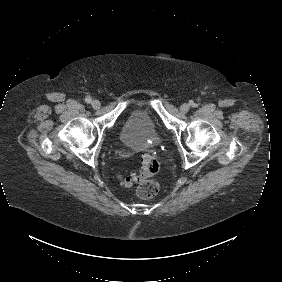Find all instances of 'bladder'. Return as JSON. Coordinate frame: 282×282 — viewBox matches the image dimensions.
<instances>
[{
	"label": "bladder",
	"mask_w": 282,
	"mask_h": 282,
	"mask_svg": "<svg viewBox=\"0 0 282 282\" xmlns=\"http://www.w3.org/2000/svg\"><path fill=\"white\" fill-rule=\"evenodd\" d=\"M119 140L133 151H146L160 144L157 125L146 108L133 109L124 119Z\"/></svg>",
	"instance_id": "obj_1"
}]
</instances>
